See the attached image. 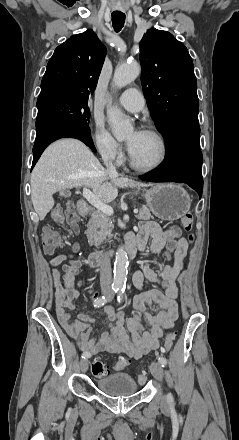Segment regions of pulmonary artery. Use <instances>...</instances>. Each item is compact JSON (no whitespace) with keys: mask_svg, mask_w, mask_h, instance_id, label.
<instances>
[{"mask_svg":"<svg viewBox=\"0 0 239 440\" xmlns=\"http://www.w3.org/2000/svg\"><path fill=\"white\" fill-rule=\"evenodd\" d=\"M119 103L125 109L132 112L141 111L145 104L140 92L133 88L127 89L121 94L119 98Z\"/></svg>","mask_w":239,"mask_h":440,"instance_id":"e3ab8cb5","label":"pulmonary artery"}]
</instances>
